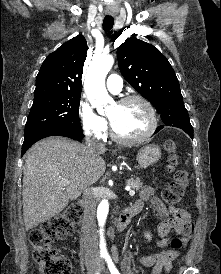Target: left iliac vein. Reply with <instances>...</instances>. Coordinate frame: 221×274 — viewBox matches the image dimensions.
<instances>
[{
  "label": "left iliac vein",
  "mask_w": 221,
  "mask_h": 274,
  "mask_svg": "<svg viewBox=\"0 0 221 274\" xmlns=\"http://www.w3.org/2000/svg\"><path fill=\"white\" fill-rule=\"evenodd\" d=\"M102 274H109L108 270L105 268V266L102 264Z\"/></svg>",
  "instance_id": "left-iliac-vein-1"
}]
</instances>
